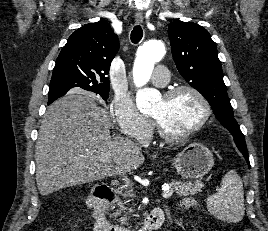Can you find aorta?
I'll list each match as a JSON object with an SVG mask.
<instances>
[{
    "label": "aorta",
    "instance_id": "obj_1",
    "mask_svg": "<svg viewBox=\"0 0 268 231\" xmlns=\"http://www.w3.org/2000/svg\"><path fill=\"white\" fill-rule=\"evenodd\" d=\"M165 45L160 40L144 43L137 50V56L133 65V80L136 87H143L150 80L154 64L165 55ZM160 97L156 89H140L136 94L137 108L144 112L151 108V102Z\"/></svg>",
    "mask_w": 268,
    "mask_h": 231
}]
</instances>
